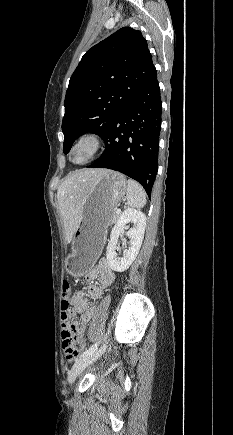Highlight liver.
<instances>
[{
    "instance_id": "obj_1",
    "label": "liver",
    "mask_w": 233,
    "mask_h": 435,
    "mask_svg": "<svg viewBox=\"0 0 233 435\" xmlns=\"http://www.w3.org/2000/svg\"><path fill=\"white\" fill-rule=\"evenodd\" d=\"M107 169H82L65 178L57 191V200L65 229V240L70 243L78 227L81 206L93 182Z\"/></svg>"
}]
</instances>
